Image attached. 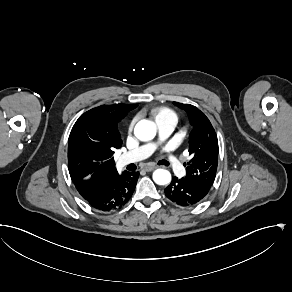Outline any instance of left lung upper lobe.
<instances>
[{
  "label": "left lung upper lobe",
  "mask_w": 292,
  "mask_h": 292,
  "mask_svg": "<svg viewBox=\"0 0 292 292\" xmlns=\"http://www.w3.org/2000/svg\"><path fill=\"white\" fill-rule=\"evenodd\" d=\"M188 114L192 131L188 151L191 160L187 163L183 179L196 187L210 190L218 165V140L216 132L206 115L190 104L173 102Z\"/></svg>",
  "instance_id": "left-lung-upper-lobe-1"
}]
</instances>
